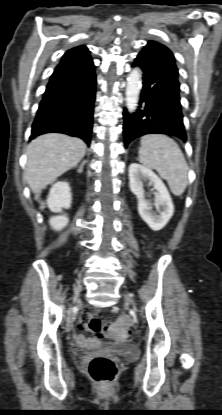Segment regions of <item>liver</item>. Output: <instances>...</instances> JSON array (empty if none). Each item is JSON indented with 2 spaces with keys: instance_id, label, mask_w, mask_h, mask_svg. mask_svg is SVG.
I'll use <instances>...</instances> for the list:
<instances>
[{
  "instance_id": "obj_1",
  "label": "liver",
  "mask_w": 222,
  "mask_h": 415,
  "mask_svg": "<svg viewBox=\"0 0 222 415\" xmlns=\"http://www.w3.org/2000/svg\"><path fill=\"white\" fill-rule=\"evenodd\" d=\"M86 144L79 138L50 133L37 137L27 148L24 178L32 192L40 193L48 184L84 157Z\"/></svg>"
}]
</instances>
